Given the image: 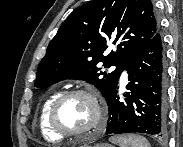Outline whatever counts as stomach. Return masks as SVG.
<instances>
[{
  "label": "stomach",
  "mask_w": 183,
  "mask_h": 147,
  "mask_svg": "<svg viewBox=\"0 0 183 147\" xmlns=\"http://www.w3.org/2000/svg\"><path fill=\"white\" fill-rule=\"evenodd\" d=\"M94 147H112V146L107 143H101V144H96Z\"/></svg>",
  "instance_id": "0dacf381"
}]
</instances>
